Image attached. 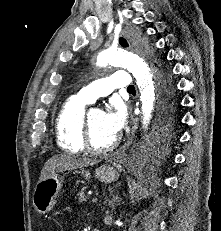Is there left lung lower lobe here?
I'll list each match as a JSON object with an SVG mask.
<instances>
[{
  "instance_id": "1",
  "label": "left lung lower lobe",
  "mask_w": 221,
  "mask_h": 231,
  "mask_svg": "<svg viewBox=\"0 0 221 231\" xmlns=\"http://www.w3.org/2000/svg\"><path fill=\"white\" fill-rule=\"evenodd\" d=\"M169 76L166 75H161L160 80L161 84L163 85V91H164V101L161 105V110H160V115L162 118V121L165 120L167 113H169L171 106H170V96H171V91H172V86L171 82L169 80ZM165 117V118H163Z\"/></svg>"
}]
</instances>
